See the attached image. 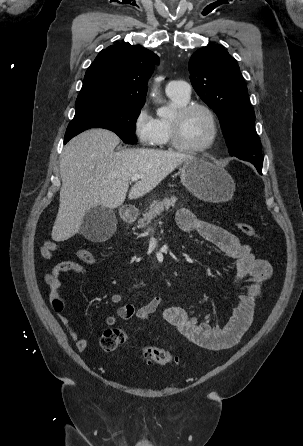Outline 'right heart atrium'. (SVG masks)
<instances>
[{"label":"right heart atrium","instance_id":"right-heart-atrium-1","mask_svg":"<svg viewBox=\"0 0 303 446\" xmlns=\"http://www.w3.org/2000/svg\"><path fill=\"white\" fill-rule=\"evenodd\" d=\"M134 134L140 144L154 145L158 136L157 120L152 116L147 104L137 112L133 121Z\"/></svg>","mask_w":303,"mask_h":446}]
</instances>
